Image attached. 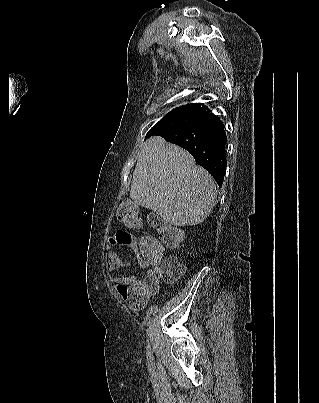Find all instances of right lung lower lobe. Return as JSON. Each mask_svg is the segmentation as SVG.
<instances>
[{"instance_id":"1","label":"right lung lower lobe","mask_w":319,"mask_h":403,"mask_svg":"<svg viewBox=\"0 0 319 403\" xmlns=\"http://www.w3.org/2000/svg\"><path fill=\"white\" fill-rule=\"evenodd\" d=\"M166 141L186 149L197 164L204 167L222 185L227 166L224 125L214 115L180 127H169L155 132Z\"/></svg>"}]
</instances>
